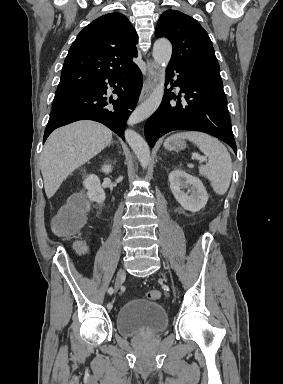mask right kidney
<instances>
[{
    "label": "right kidney",
    "mask_w": 283,
    "mask_h": 384,
    "mask_svg": "<svg viewBox=\"0 0 283 384\" xmlns=\"http://www.w3.org/2000/svg\"><path fill=\"white\" fill-rule=\"evenodd\" d=\"M111 170L112 166H103L102 168V172H105V174H109ZM83 184L86 190H88V198H90L92 202H98V204H102V202H104L106 196L103 188H101L98 176L90 174V176H87L86 180H84Z\"/></svg>",
    "instance_id": "obj_1"
}]
</instances>
